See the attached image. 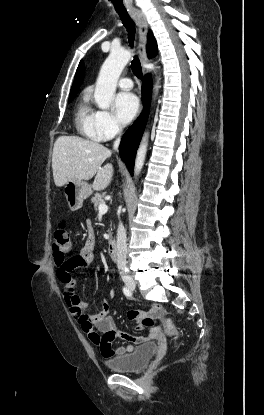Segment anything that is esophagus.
<instances>
[{"instance_id":"esophagus-1","label":"esophagus","mask_w":264,"mask_h":415,"mask_svg":"<svg viewBox=\"0 0 264 415\" xmlns=\"http://www.w3.org/2000/svg\"><path fill=\"white\" fill-rule=\"evenodd\" d=\"M130 15L138 26V32H139L138 52H139L141 63L145 64L147 63L146 42H147L148 23H147L145 15L140 11H132L130 12ZM143 71L145 73L147 72L146 69H143Z\"/></svg>"}]
</instances>
